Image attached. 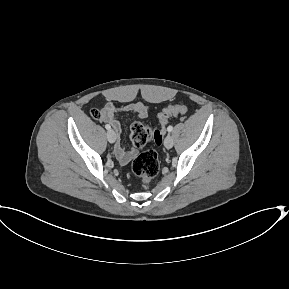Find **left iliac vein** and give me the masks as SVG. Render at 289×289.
<instances>
[{"label":"left iliac vein","instance_id":"4c4485c4","mask_svg":"<svg viewBox=\"0 0 289 289\" xmlns=\"http://www.w3.org/2000/svg\"><path fill=\"white\" fill-rule=\"evenodd\" d=\"M164 145L166 148L170 149L173 147L174 145V140L173 137L171 135H167V137L164 140Z\"/></svg>","mask_w":289,"mask_h":289}]
</instances>
